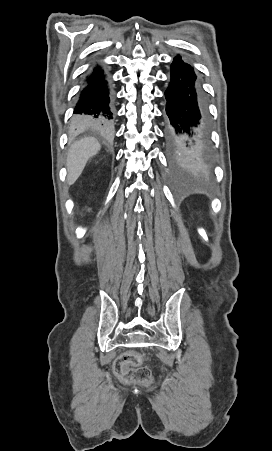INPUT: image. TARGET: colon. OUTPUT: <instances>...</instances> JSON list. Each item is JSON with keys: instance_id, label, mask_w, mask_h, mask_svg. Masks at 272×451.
<instances>
[{"instance_id": "5ec220e1", "label": "colon", "mask_w": 272, "mask_h": 451, "mask_svg": "<svg viewBox=\"0 0 272 451\" xmlns=\"http://www.w3.org/2000/svg\"><path fill=\"white\" fill-rule=\"evenodd\" d=\"M139 361L137 355H132L130 358H115V373L125 374V381L148 382L151 378L149 365H134Z\"/></svg>"}]
</instances>
